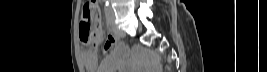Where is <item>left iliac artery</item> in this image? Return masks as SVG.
I'll use <instances>...</instances> for the list:
<instances>
[{"label":"left iliac artery","instance_id":"44dca946","mask_svg":"<svg viewBox=\"0 0 267 72\" xmlns=\"http://www.w3.org/2000/svg\"><path fill=\"white\" fill-rule=\"evenodd\" d=\"M105 15H106V21L109 24V15H110V4H109V2L105 3Z\"/></svg>","mask_w":267,"mask_h":72}]
</instances>
